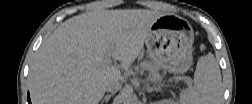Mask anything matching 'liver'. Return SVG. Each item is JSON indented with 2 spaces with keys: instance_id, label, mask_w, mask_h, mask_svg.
<instances>
[{
  "instance_id": "1",
  "label": "liver",
  "mask_w": 252,
  "mask_h": 104,
  "mask_svg": "<svg viewBox=\"0 0 252 104\" xmlns=\"http://www.w3.org/2000/svg\"><path fill=\"white\" fill-rule=\"evenodd\" d=\"M159 11L94 10L60 24L43 42L31 65L28 86L35 104H98L120 67L127 73L144 47Z\"/></svg>"
}]
</instances>
